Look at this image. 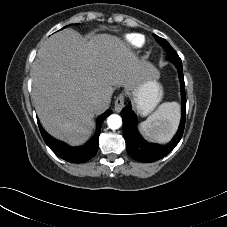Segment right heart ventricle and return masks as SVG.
Instances as JSON below:
<instances>
[{"label": "right heart ventricle", "instance_id": "obj_1", "mask_svg": "<svg viewBox=\"0 0 227 227\" xmlns=\"http://www.w3.org/2000/svg\"><path fill=\"white\" fill-rule=\"evenodd\" d=\"M127 42L133 47H140L142 46L144 39L139 34H129L126 36Z\"/></svg>", "mask_w": 227, "mask_h": 227}]
</instances>
